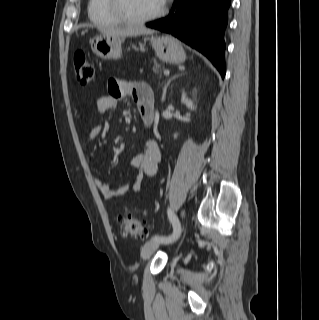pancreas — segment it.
I'll list each match as a JSON object with an SVG mask.
<instances>
[{
	"instance_id": "1",
	"label": "pancreas",
	"mask_w": 319,
	"mask_h": 320,
	"mask_svg": "<svg viewBox=\"0 0 319 320\" xmlns=\"http://www.w3.org/2000/svg\"><path fill=\"white\" fill-rule=\"evenodd\" d=\"M160 68H161V64L158 63L156 59H154L153 60V67H152L153 72L160 75Z\"/></svg>"
}]
</instances>
